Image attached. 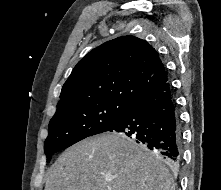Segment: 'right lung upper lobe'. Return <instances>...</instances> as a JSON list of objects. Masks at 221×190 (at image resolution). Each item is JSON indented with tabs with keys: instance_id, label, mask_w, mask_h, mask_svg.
Instances as JSON below:
<instances>
[{
	"instance_id": "right-lung-upper-lobe-1",
	"label": "right lung upper lobe",
	"mask_w": 221,
	"mask_h": 190,
	"mask_svg": "<svg viewBox=\"0 0 221 190\" xmlns=\"http://www.w3.org/2000/svg\"><path fill=\"white\" fill-rule=\"evenodd\" d=\"M168 82L156 50L133 36L110 40L91 50L63 85L57 109L113 99L133 103Z\"/></svg>"
}]
</instances>
